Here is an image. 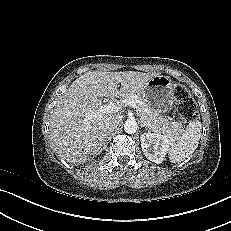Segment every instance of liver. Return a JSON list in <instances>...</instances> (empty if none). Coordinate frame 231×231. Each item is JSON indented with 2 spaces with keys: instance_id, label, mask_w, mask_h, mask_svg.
<instances>
[{
  "instance_id": "1",
  "label": "liver",
  "mask_w": 231,
  "mask_h": 231,
  "mask_svg": "<svg viewBox=\"0 0 231 231\" xmlns=\"http://www.w3.org/2000/svg\"><path fill=\"white\" fill-rule=\"evenodd\" d=\"M158 73L89 71L77 78L52 111L49 136L52 149L68 162H86L99 154L107 135L105 122L117 112L98 113V98H124L140 93ZM120 84V89H118ZM96 112V116H88Z\"/></svg>"
}]
</instances>
